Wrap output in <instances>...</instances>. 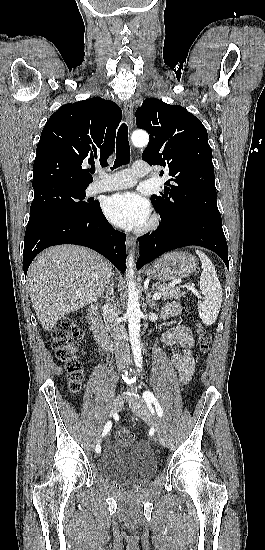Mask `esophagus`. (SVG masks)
<instances>
[{"mask_svg": "<svg viewBox=\"0 0 265 550\" xmlns=\"http://www.w3.org/2000/svg\"><path fill=\"white\" fill-rule=\"evenodd\" d=\"M124 115H125V120H126V123L129 127V129H132L133 127V103L131 100H127L125 103H124ZM134 237L132 236H128L127 237V245L128 246H132L134 244Z\"/></svg>", "mask_w": 265, "mask_h": 550, "instance_id": "obj_1", "label": "esophagus"}]
</instances>
